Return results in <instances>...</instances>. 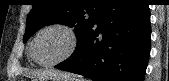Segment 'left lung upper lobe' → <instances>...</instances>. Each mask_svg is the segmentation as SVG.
I'll return each instance as SVG.
<instances>
[{
    "instance_id": "1",
    "label": "left lung upper lobe",
    "mask_w": 169,
    "mask_h": 81,
    "mask_svg": "<svg viewBox=\"0 0 169 81\" xmlns=\"http://www.w3.org/2000/svg\"><path fill=\"white\" fill-rule=\"evenodd\" d=\"M108 0H34L27 17L26 42L37 30L49 24L75 27L77 46L98 18Z\"/></svg>"
}]
</instances>
